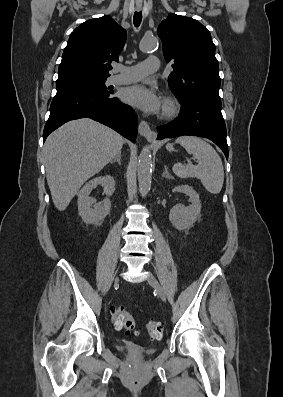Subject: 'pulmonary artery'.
Instances as JSON below:
<instances>
[{
  "instance_id": "e3ab8cb5",
  "label": "pulmonary artery",
  "mask_w": 283,
  "mask_h": 397,
  "mask_svg": "<svg viewBox=\"0 0 283 397\" xmlns=\"http://www.w3.org/2000/svg\"><path fill=\"white\" fill-rule=\"evenodd\" d=\"M160 68L159 59L155 56L148 57L145 61L133 66L118 65L115 69L119 72L108 79L112 85L128 84L141 80L145 76L155 73Z\"/></svg>"
}]
</instances>
